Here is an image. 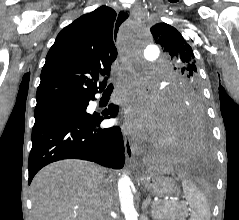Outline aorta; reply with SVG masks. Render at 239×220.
Masks as SVG:
<instances>
[{
    "mask_svg": "<svg viewBox=\"0 0 239 220\" xmlns=\"http://www.w3.org/2000/svg\"><path fill=\"white\" fill-rule=\"evenodd\" d=\"M123 40H142L140 33H124ZM124 46H145L146 57L145 61H158V51L157 48H148L150 46L146 45H124ZM141 58V57H140ZM131 180L126 175L123 174L118 180V193L121 205V210L125 215L126 220H138V213L134 207L133 194L130 189Z\"/></svg>",
    "mask_w": 239,
    "mask_h": 220,
    "instance_id": "obj_1",
    "label": "aorta"
}]
</instances>
